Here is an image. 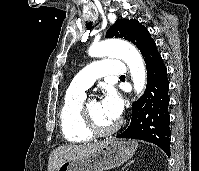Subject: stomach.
Returning a JSON list of instances; mask_svg holds the SVG:
<instances>
[{
    "mask_svg": "<svg viewBox=\"0 0 199 171\" xmlns=\"http://www.w3.org/2000/svg\"><path fill=\"white\" fill-rule=\"evenodd\" d=\"M137 149L135 141L109 139L97 151L61 164L57 171H106L129 160Z\"/></svg>",
    "mask_w": 199,
    "mask_h": 171,
    "instance_id": "1",
    "label": "stomach"
}]
</instances>
